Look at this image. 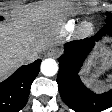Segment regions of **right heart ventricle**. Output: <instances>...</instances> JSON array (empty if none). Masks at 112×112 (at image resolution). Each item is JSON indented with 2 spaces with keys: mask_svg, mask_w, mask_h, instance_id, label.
Listing matches in <instances>:
<instances>
[{
  "mask_svg": "<svg viewBox=\"0 0 112 112\" xmlns=\"http://www.w3.org/2000/svg\"><path fill=\"white\" fill-rule=\"evenodd\" d=\"M76 26H77L76 20L69 19L61 26V31L70 32V31H73L76 28Z\"/></svg>",
  "mask_w": 112,
  "mask_h": 112,
  "instance_id": "obj_1",
  "label": "right heart ventricle"
}]
</instances>
